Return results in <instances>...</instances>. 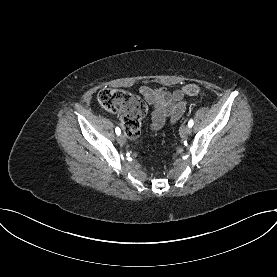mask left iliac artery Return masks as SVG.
<instances>
[{"instance_id": "44dca946", "label": "left iliac artery", "mask_w": 277, "mask_h": 277, "mask_svg": "<svg viewBox=\"0 0 277 277\" xmlns=\"http://www.w3.org/2000/svg\"><path fill=\"white\" fill-rule=\"evenodd\" d=\"M193 124H194L193 120H190V121L188 122V126H189V127H192Z\"/></svg>"}]
</instances>
